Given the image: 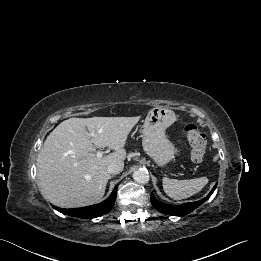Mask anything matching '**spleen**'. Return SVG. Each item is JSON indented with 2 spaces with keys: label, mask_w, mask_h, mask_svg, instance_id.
Segmentation results:
<instances>
[{
  "label": "spleen",
  "mask_w": 261,
  "mask_h": 261,
  "mask_svg": "<svg viewBox=\"0 0 261 261\" xmlns=\"http://www.w3.org/2000/svg\"><path fill=\"white\" fill-rule=\"evenodd\" d=\"M208 181L209 179L207 177L189 180H176L164 177L162 183L163 189L169 197L175 200H181L201 191Z\"/></svg>",
  "instance_id": "3e777b00"
}]
</instances>
